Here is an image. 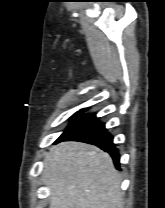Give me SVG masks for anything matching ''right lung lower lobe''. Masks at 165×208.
Masks as SVG:
<instances>
[{
  "mask_svg": "<svg viewBox=\"0 0 165 208\" xmlns=\"http://www.w3.org/2000/svg\"><path fill=\"white\" fill-rule=\"evenodd\" d=\"M61 141H80L93 144L108 152L115 166L119 168V153L113 143V137L107 132L105 125L98 121L95 114L86 115L68 128L55 143Z\"/></svg>",
  "mask_w": 165,
  "mask_h": 208,
  "instance_id": "98d812e1",
  "label": "right lung lower lobe"
}]
</instances>
